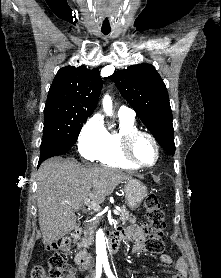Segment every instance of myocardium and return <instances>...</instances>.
Segmentation results:
<instances>
[{
    "instance_id": "f54148a6",
    "label": "myocardium",
    "mask_w": 221,
    "mask_h": 278,
    "mask_svg": "<svg viewBox=\"0 0 221 278\" xmlns=\"http://www.w3.org/2000/svg\"><path fill=\"white\" fill-rule=\"evenodd\" d=\"M140 136H145L151 140L153 143L155 150H156V158L155 161L150 164H142L138 162L134 156H133V146L136 141V139ZM120 153L124 160H126L128 163L132 164L136 168H151L157 164L160 158V146L156 140V138L149 132L147 131H142V130H134L130 131L121 137L120 141Z\"/></svg>"
}]
</instances>
